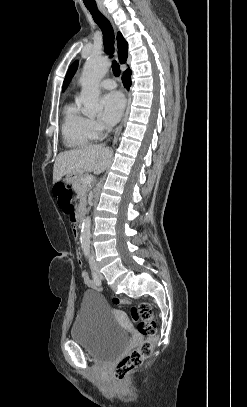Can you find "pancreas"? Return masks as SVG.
<instances>
[{
    "label": "pancreas",
    "instance_id": "pancreas-1",
    "mask_svg": "<svg viewBox=\"0 0 247 407\" xmlns=\"http://www.w3.org/2000/svg\"><path fill=\"white\" fill-rule=\"evenodd\" d=\"M83 179V177H79L73 183V189L80 199V207L86 204L87 192L89 191V185L84 183Z\"/></svg>",
    "mask_w": 247,
    "mask_h": 407
}]
</instances>
